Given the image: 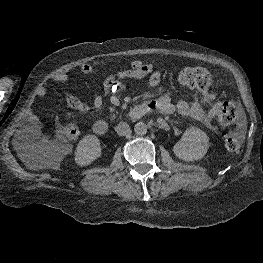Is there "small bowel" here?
Here are the masks:
<instances>
[{"label": "small bowel", "instance_id": "c3829d8e", "mask_svg": "<svg viewBox=\"0 0 263 263\" xmlns=\"http://www.w3.org/2000/svg\"><path fill=\"white\" fill-rule=\"evenodd\" d=\"M79 72L83 75H89L94 72V67L90 64H84L79 68ZM145 77H148V87L154 88L159 85L162 79V72L151 63H143L140 60H134L130 63L129 68L120 70L105 79L103 84L104 93L121 91L126 88L127 80H140ZM68 80L69 75L65 72L57 73L52 77V81L55 83H65ZM36 94L38 97H43L46 94V89L44 87H39ZM65 100L70 108L82 113L88 112L91 108L99 109L103 105V96L99 93L94 95L91 106L72 94H67ZM145 104H147L151 110H157L163 114L177 112L182 116H187L202 122L211 130L216 129L212 116L204 111L201 102L197 100L192 102H187L185 100L173 102L168 95H163ZM22 134L27 138L35 139L37 144L42 147H54L63 137L62 130L59 127L56 129L54 138L39 135L38 120L34 115L30 116L29 124L23 129Z\"/></svg>", "mask_w": 263, "mask_h": 263}]
</instances>
